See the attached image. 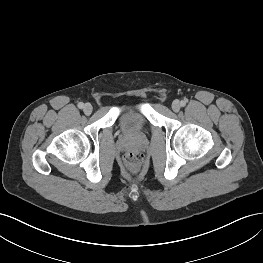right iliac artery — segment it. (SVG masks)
<instances>
[{"mask_svg":"<svg viewBox=\"0 0 263 263\" xmlns=\"http://www.w3.org/2000/svg\"><path fill=\"white\" fill-rule=\"evenodd\" d=\"M78 107L82 109L84 107V104L82 102L78 103Z\"/></svg>","mask_w":263,"mask_h":263,"instance_id":"1","label":"right iliac artery"}]
</instances>
